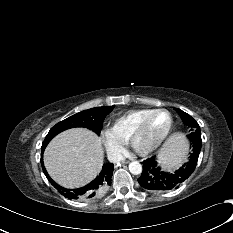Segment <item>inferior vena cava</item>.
<instances>
[{
    "mask_svg": "<svg viewBox=\"0 0 233 233\" xmlns=\"http://www.w3.org/2000/svg\"><path fill=\"white\" fill-rule=\"evenodd\" d=\"M107 157L111 163H117L124 160L123 155L117 152L109 153Z\"/></svg>",
    "mask_w": 233,
    "mask_h": 233,
    "instance_id": "inferior-vena-cava-1",
    "label": "inferior vena cava"
}]
</instances>
